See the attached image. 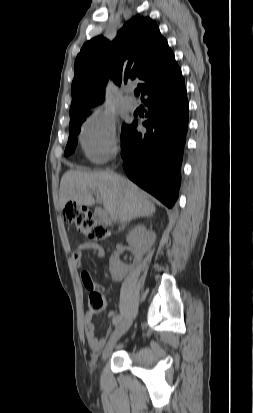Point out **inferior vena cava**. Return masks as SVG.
<instances>
[{"label": "inferior vena cava", "mask_w": 253, "mask_h": 413, "mask_svg": "<svg viewBox=\"0 0 253 413\" xmlns=\"http://www.w3.org/2000/svg\"><path fill=\"white\" fill-rule=\"evenodd\" d=\"M114 178H116V176L114 174H112Z\"/></svg>", "instance_id": "obj_1"}]
</instances>
